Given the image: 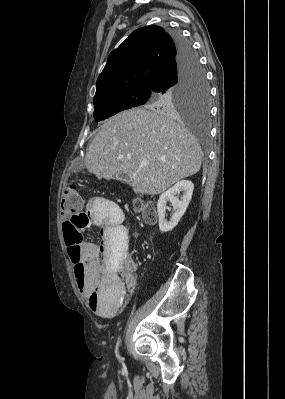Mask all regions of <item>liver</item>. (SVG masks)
I'll return each mask as SVG.
<instances>
[{
    "label": "liver",
    "mask_w": 285,
    "mask_h": 399,
    "mask_svg": "<svg viewBox=\"0 0 285 399\" xmlns=\"http://www.w3.org/2000/svg\"><path fill=\"white\" fill-rule=\"evenodd\" d=\"M202 157L194 135L175 117L136 108L109 118L100 127L87 149L85 166L107 180L126 174L136 194L157 195L196 174Z\"/></svg>",
    "instance_id": "6515ba94"
}]
</instances>
